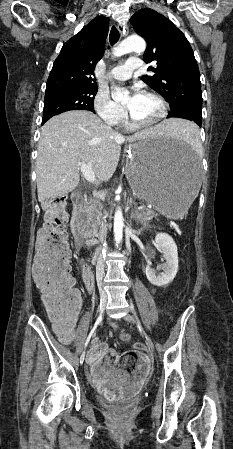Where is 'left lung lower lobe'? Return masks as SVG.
Segmentation results:
<instances>
[{
	"label": "left lung lower lobe",
	"instance_id": "left-lung-lower-lobe-1",
	"mask_svg": "<svg viewBox=\"0 0 233 449\" xmlns=\"http://www.w3.org/2000/svg\"><path fill=\"white\" fill-rule=\"evenodd\" d=\"M170 117H178V116H174V115L169 114V115L167 116V118H170ZM179 118H183V117H179ZM184 119H186V118H184ZM201 121H202V117L200 118L199 115H196V116L194 117V122H196V123L198 124L199 127H201Z\"/></svg>",
	"mask_w": 233,
	"mask_h": 449
}]
</instances>
